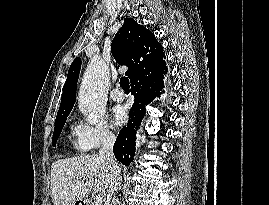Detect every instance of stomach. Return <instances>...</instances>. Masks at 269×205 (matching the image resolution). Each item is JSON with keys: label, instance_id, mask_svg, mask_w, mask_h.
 Listing matches in <instances>:
<instances>
[{"label": "stomach", "instance_id": "1", "mask_svg": "<svg viewBox=\"0 0 269 205\" xmlns=\"http://www.w3.org/2000/svg\"><path fill=\"white\" fill-rule=\"evenodd\" d=\"M73 205H87V203L84 200H79V201H76Z\"/></svg>", "mask_w": 269, "mask_h": 205}]
</instances>
